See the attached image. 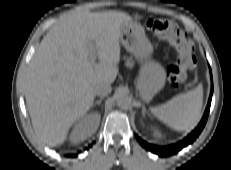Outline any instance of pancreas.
Segmentation results:
<instances>
[{"label": "pancreas", "instance_id": "obj_1", "mask_svg": "<svg viewBox=\"0 0 231 170\" xmlns=\"http://www.w3.org/2000/svg\"><path fill=\"white\" fill-rule=\"evenodd\" d=\"M125 65L127 67H132L133 66V62L131 60H127L126 63H125Z\"/></svg>", "mask_w": 231, "mask_h": 170}]
</instances>
